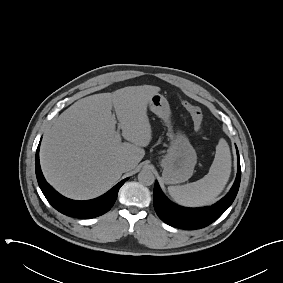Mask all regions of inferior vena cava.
<instances>
[{"label":"inferior vena cava","instance_id":"1","mask_svg":"<svg viewBox=\"0 0 283 283\" xmlns=\"http://www.w3.org/2000/svg\"><path fill=\"white\" fill-rule=\"evenodd\" d=\"M119 167H120L121 171L126 172L130 169L131 165L128 162H123V163L120 164Z\"/></svg>","mask_w":283,"mask_h":283}]
</instances>
